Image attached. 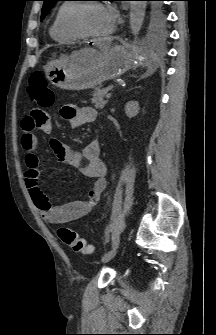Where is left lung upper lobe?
Wrapping results in <instances>:
<instances>
[{
  "label": "left lung upper lobe",
  "mask_w": 216,
  "mask_h": 335,
  "mask_svg": "<svg viewBox=\"0 0 216 335\" xmlns=\"http://www.w3.org/2000/svg\"><path fill=\"white\" fill-rule=\"evenodd\" d=\"M44 1L42 12H41V20L47 15V13L54 7L57 1L60 0H41ZM149 3L146 6V21L148 29L151 33L156 34L158 36L164 34L165 29V14L162 9V5L160 1L163 0H146Z\"/></svg>",
  "instance_id": "left-lung-upper-lobe-1"
}]
</instances>
